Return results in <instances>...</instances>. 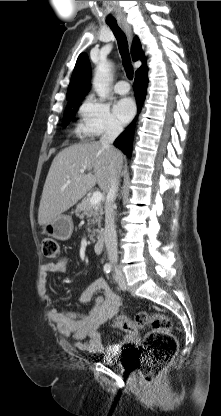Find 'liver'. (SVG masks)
I'll return each mask as SVG.
<instances>
[{"instance_id":"1","label":"liver","mask_w":221,"mask_h":416,"mask_svg":"<svg viewBox=\"0 0 221 416\" xmlns=\"http://www.w3.org/2000/svg\"><path fill=\"white\" fill-rule=\"evenodd\" d=\"M112 161L110 153L98 141L74 144L60 151L52 161L43 187L39 225L67 211L96 184L104 193L108 192L112 178L123 164L120 151L116 150L114 164Z\"/></svg>"}]
</instances>
